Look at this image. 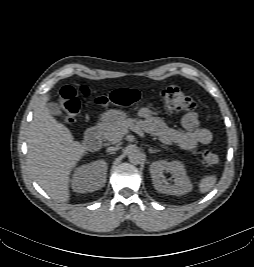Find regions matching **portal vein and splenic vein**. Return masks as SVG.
<instances>
[{
    "label": "portal vein and splenic vein",
    "instance_id": "1",
    "mask_svg": "<svg viewBox=\"0 0 254 267\" xmlns=\"http://www.w3.org/2000/svg\"><path fill=\"white\" fill-rule=\"evenodd\" d=\"M130 129L133 132L137 133L139 136L144 137V133L142 132V130L138 126H132ZM118 141H120V139L117 140L116 142H118Z\"/></svg>",
    "mask_w": 254,
    "mask_h": 267
}]
</instances>
